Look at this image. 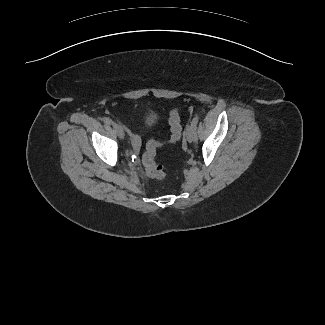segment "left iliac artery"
<instances>
[{
    "label": "left iliac artery",
    "instance_id": "1",
    "mask_svg": "<svg viewBox=\"0 0 325 325\" xmlns=\"http://www.w3.org/2000/svg\"><path fill=\"white\" fill-rule=\"evenodd\" d=\"M198 120H199L198 115H195L193 117V119H192V122H191V129H192V132H193V136H194V140L195 141H197V132H196V129H197Z\"/></svg>",
    "mask_w": 325,
    "mask_h": 325
}]
</instances>
